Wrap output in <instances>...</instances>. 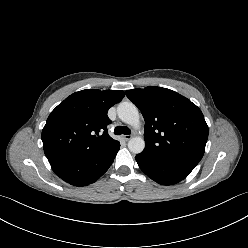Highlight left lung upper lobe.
<instances>
[{"label":"left lung upper lobe","instance_id":"obj_1","mask_svg":"<svg viewBox=\"0 0 248 248\" xmlns=\"http://www.w3.org/2000/svg\"><path fill=\"white\" fill-rule=\"evenodd\" d=\"M125 94L141 110L146 122L142 154L195 168L208 139V126L201 110L167 88L148 86L127 90Z\"/></svg>","mask_w":248,"mask_h":248}]
</instances>
